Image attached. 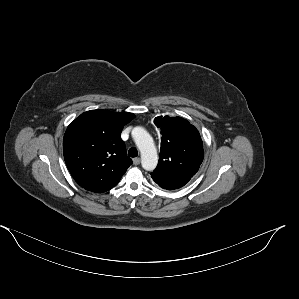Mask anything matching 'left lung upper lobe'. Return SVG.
Segmentation results:
<instances>
[{
	"label": "left lung upper lobe",
	"instance_id": "left-lung-upper-lobe-1",
	"mask_svg": "<svg viewBox=\"0 0 299 299\" xmlns=\"http://www.w3.org/2000/svg\"><path fill=\"white\" fill-rule=\"evenodd\" d=\"M161 128L160 158L153 176H194L203 161L204 149L198 130L181 117L156 118Z\"/></svg>",
	"mask_w": 299,
	"mask_h": 299
}]
</instances>
